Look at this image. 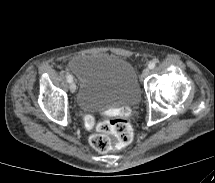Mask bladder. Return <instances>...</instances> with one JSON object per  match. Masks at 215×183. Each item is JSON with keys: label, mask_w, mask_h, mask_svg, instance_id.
Returning a JSON list of instances; mask_svg holds the SVG:
<instances>
[{"label": "bladder", "mask_w": 215, "mask_h": 183, "mask_svg": "<svg viewBox=\"0 0 215 183\" xmlns=\"http://www.w3.org/2000/svg\"><path fill=\"white\" fill-rule=\"evenodd\" d=\"M70 68L81 82L76 104L83 111L139 102L137 74L125 58L103 53L81 54L73 58Z\"/></svg>", "instance_id": "bladder-1"}]
</instances>
